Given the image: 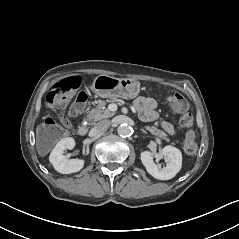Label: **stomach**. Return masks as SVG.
<instances>
[{
    "instance_id": "0dacf381",
    "label": "stomach",
    "mask_w": 239,
    "mask_h": 239,
    "mask_svg": "<svg viewBox=\"0 0 239 239\" xmlns=\"http://www.w3.org/2000/svg\"><path fill=\"white\" fill-rule=\"evenodd\" d=\"M91 90L101 98L133 99L140 92V83L131 78L99 75L94 79Z\"/></svg>"
}]
</instances>
